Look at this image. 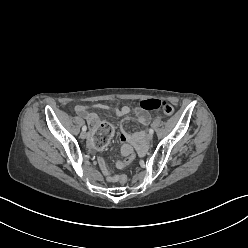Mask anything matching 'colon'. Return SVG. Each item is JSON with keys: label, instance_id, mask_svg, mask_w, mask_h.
<instances>
[{"label": "colon", "instance_id": "1", "mask_svg": "<svg viewBox=\"0 0 248 248\" xmlns=\"http://www.w3.org/2000/svg\"><path fill=\"white\" fill-rule=\"evenodd\" d=\"M140 108L144 111H155L161 110L164 114H157V121H165L166 115L173 114V107L167 101L158 100V99H148L141 101ZM166 114V115H165ZM88 128L92 131V136L95 139L94 146L98 150H104L108 146V142L111 139V136L114 132V128L110 123L103 122L97 115H92L88 119ZM134 159L133 150L128 151L127 158L122 162L120 168H125L128 166ZM115 181L124 185L127 183V176L123 173L116 175Z\"/></svg>", "mask_w": 248, "mask_h": 248}]
</instances>
